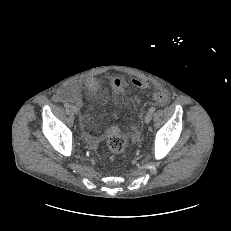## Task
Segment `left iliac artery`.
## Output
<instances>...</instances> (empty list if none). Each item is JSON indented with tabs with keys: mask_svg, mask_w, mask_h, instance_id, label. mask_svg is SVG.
Listing matches in <instances>:
<instances>
[{
	"mask_svg": "<svg viewBox=\"0 0 231 231\" xmlns=\"http://www.w3.org/2000/svg\"><path fill=\"white\" fill-rule=\"evenodd\" d=\"M149 112H150V113H154V112H155V107L152 106V107L149 109Z\"/></svg>",
	"mask_w": 231,
	"mask_h": 231,
	"instance_id": "obj_1",
	"label": "left iliac artery"
}]
</instances>
